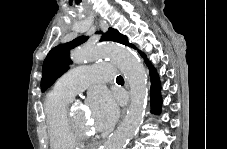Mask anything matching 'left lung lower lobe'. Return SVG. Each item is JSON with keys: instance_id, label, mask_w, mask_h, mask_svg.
<instances>
[{"instance_id": "0a47b994", "label": "left lung lower lobe", "mask_w": 227, "mask_h": 149, "mask_svg": "<svg viewBox=\"0 0 227 149\" xmlns=\"http://www.w3.org/2000/svg\"><path fill=\"white\" fill-rule=\"evenodd\" d=\"M128 46L134 47L131 44H128ZM141 55L144 58L146 57L142 53ZM146 63L148 64V67L150 69V75H151V106L153 107L152 112L160 113L161 104H162L161 95H160V81L152 65L148 61H146Z\"/></svg>"}]
</instances>
